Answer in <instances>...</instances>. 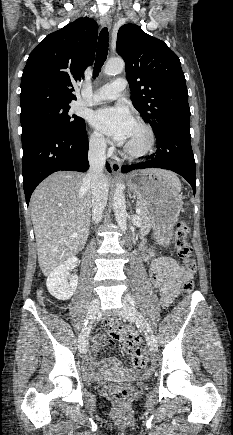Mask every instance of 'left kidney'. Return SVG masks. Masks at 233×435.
I'll return each instance as SVG.
<instances>
[{
    "instance_id": "1",
    "label": "left kidney",
    "mask_w": 233,
    "mask_h": 435,
    "mask_svg": "<svg viewBox=\"0 0 233 435\" xmlns=\"http://www.w3.org/2000/svg\"><path fill=\"white\" fill-rule=\"evenodd\" d=\"M150 251V255L153 257L155 254H154V252H153V250L151 251V250H149Z\"/></svg>"
}]
</instances>
